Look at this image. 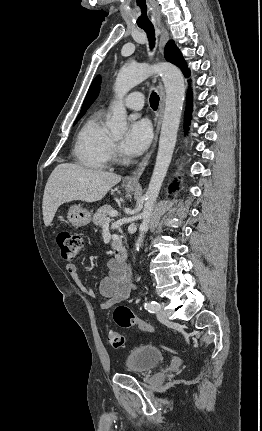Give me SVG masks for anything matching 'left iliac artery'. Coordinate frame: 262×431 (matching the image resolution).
<instances>
[{
    "label": "left iliac artery",
    "instance_id": "1",
    "mask_svg": "<svg viewBox=\"0 0 262 431\" xmlns=\"http://www.w3.org/2000/svg\"><path fill=\"white\" fill-rule=\"evenodd\" d=\"M144 306H145V309L148 310V312H152V313L158 311L160 308V304L156 301L147 302L145 303Z\"/></svg>",
    "mask_w": 262,
    "mask_h": 431
}]
</instances>
